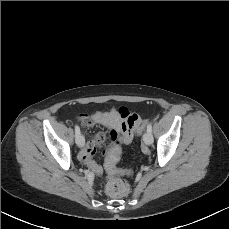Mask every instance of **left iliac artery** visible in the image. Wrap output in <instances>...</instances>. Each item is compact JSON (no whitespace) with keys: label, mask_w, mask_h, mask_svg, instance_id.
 I'll return each mask as SVG.
<instances>
[{"label":"left iliac artery","mask_w":229,"mask_h":229,"mask_svg":"<svg viewBox=\"0 0 229 229\" xmlns=\"http://www.w3.org/2000/svg\"><path fill=\"white\" fill-rule=\"evenodd\" d=\"M147 131L152 132V123H149L147 126Z\"/></svg>","instance_id":"left-iliac-artery-1"}]
</instances>
